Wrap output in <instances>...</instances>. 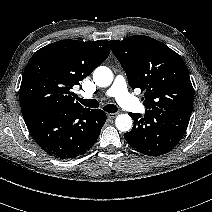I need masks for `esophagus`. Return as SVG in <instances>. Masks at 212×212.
Here are the masks:
<instances>
[{
    "label": "esophagus",
    "instance_id": "esophagus-1",
    "mask_svg": "<svg viewBox=\"0 0 212 212\" xmlns=\"http://www.w3.org/2000/svg\"><path fill=\"white\" fill-rule=\"evenodd\" d=\"M116 116H117V113H107V117H108V118L113 119V118H115Z\"/></svg>",
    "mask_w": 212,
    "mask_h": 212
}]
</instances>
